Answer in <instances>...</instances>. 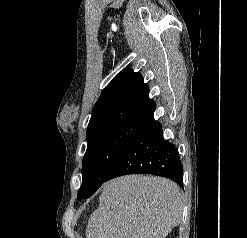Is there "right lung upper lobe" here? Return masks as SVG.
I'll use <instances>...</instances> for the list:
<instances>
[{
    "instance_id": "right-lung-upper-lobe-1",
    "label": "right lung upper lobe",
    "mask_w": 247,
    "mask_h": 238,
    "mask_svg": "<svg viewBox=\"0 0 247 238\" xmlns=\"http://www.w3.org/2000/svg\"><path fill=\"white\" fill-rule=\"evenodd\" d=\"M155 109L156 104L149 98V87L143 82L141 74L127 68L102 91L93 108L87 135L120 120L149 121Z\"/></svg>"
}]
</instances>
